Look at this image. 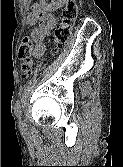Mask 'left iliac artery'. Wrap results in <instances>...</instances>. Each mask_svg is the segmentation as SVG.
I'll return each instance as SVG.
<instances>
[{"label": "left iliac artery", "instance_id": "44dca946", "mask_svg": "<svg viewBox=\"0 0 123 167\" xmlns=\"http://www.w3.org/2000/svg\"><path fill=\"white\" fill-rule=\"evenodd\" d=\"M14 114L16 115V117L21 118V105L19 100L15 102Z\"/></svg>", "mask_w": 123, "mask_h": 167}]
</instances>
